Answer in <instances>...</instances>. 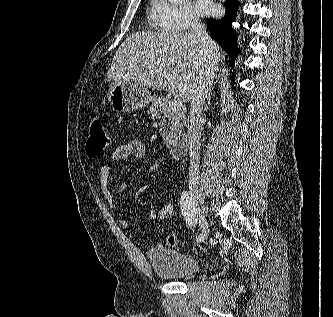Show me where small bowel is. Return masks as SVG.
I'll return each mask as SVG.
<instances>
[{
  "label": "small bowel",
  "instance_id": "small-bowel-1",
  "mask_svg": "<svg viewBox=\"0 0 333 317\" xmlns=\"http://www.w3.org/2000/svg\"><path fill=\"white\" fill-rule=\"evenodd\" d=\"M146 156V146L145 144L137 139H132L127 143L118 145L108 160L101 166L99 171V180H100V188L102 197L105 202L108 204L110 209L117 214V205L114 201L113 193L110 188V172L112 165L129 159H142ZM157 215V210H152L148 214L149 220H155ZM118 221L122 228L126 230H134L135 225L128 219L121 218L118 216Z\"/></svg>",
  "mask_w": 333,
  "mask_h": 317
}]
</instances>
